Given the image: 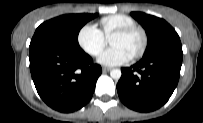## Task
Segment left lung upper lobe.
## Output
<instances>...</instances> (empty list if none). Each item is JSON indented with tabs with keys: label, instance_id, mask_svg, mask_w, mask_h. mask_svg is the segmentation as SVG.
I'll return each mask as SVG.
<instances>
[{
	"label": "left lung upper lobe",
	"instance_id": "1",
	"mask_svg": "<svg viewBox=\"0 0 203 123\" xmlns=\"http://www.w3.org/2000/svg\"><path fill=\"white\" fill-rule=\"evenodd\" d=\"M131 16L144 27L148 36L149 44L144 56L173 46H181L177 32L165 20L142 12H132Z\"/></svg>",
	"mask_w": 203,
	"mask_h": 123
}]
</instances>
